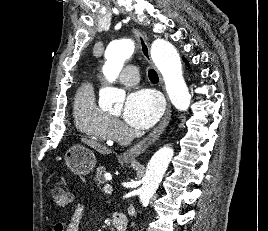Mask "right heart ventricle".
Instances as JSON below:
<instances>
[{
  "mask_svg": "<svg viewBox=\"0 0 268 231\" xmlns=\"http://www.w3.org/2000/svg\"><path fill=\"white\" fill-rule=\"evenodd\" d=\"M73 116L77 129L86 137L102 143L113 140V119L97 105L95 88L91 83L79 87L74 99Z\"/></svg>",
  "mask_w": 268,
  "mask_h": 231,
  "instance_id": "right-heart-ventricle-1",
  "label": "right heart ventricle"
}]
</instances>
